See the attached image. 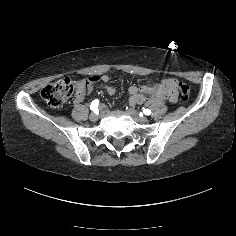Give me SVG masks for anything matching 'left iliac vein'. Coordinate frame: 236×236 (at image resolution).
Segmentation results:
<instances>
[{
  "label": "left iliac vein",
  "instance_id": "left-iliac-vein-1",
  "mask_svg": "<svg viewBox=\"0 0 236 236\" xmlns=\"http://www.w3.org/2000/svg\"><path fill=\"white\" fill-rule=\"evenodd\" d=\"M128 114L134 119L136 120L137 122H140V123H147L148 122V118L147 117H142V116H139L138 112L131 108L128 110Z\"/></svg>",
  "mask_w": 236,
  "mask_h": 236
}]
</instances>
